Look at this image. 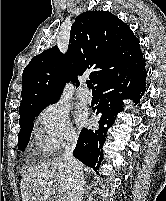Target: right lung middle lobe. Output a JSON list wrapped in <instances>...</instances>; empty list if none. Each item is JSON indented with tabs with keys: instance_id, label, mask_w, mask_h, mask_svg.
I'll return each instance as SVG.
<instances>
[{
	"instance_id": "dd1d6c3e",
	"label": "right lung middle lobe",
	"mask_w": 166,
	"mask_h": 201,
	"mask_svg": "<svg viewBox=\"0 0 166 201\" xmlns=\"http://www.w3.org/2000/svg\"><path fill=\"white\" fill-rule=\"evenodd\" d=\"M40 110H34L32 112L26 113L22 116H20L19 124L21 127V130L18 135V148L21 150H25L28 141L30 139V134L32 132L33 128V120L35 117L39 114Z\"/></svg>"
}]
</instances>
